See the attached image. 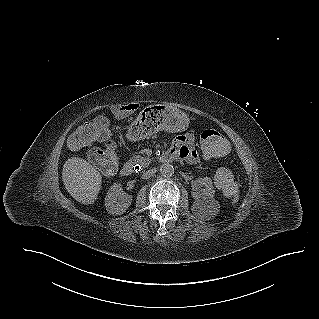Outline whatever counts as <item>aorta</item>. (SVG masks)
Here are the masks:
<instances>
[{
	"mask_svg": "<svg viewBox=\"0 0 319 319\" xmlns=\"http://www.w3.org/2000/svg\"><path fill=\"white\" fill-rule=\"evenodd\" d=\"M160 173L164 177H171L174 174V167L168 163L162 164L160 167Z\"/></svg>",
	"mask_w": 319,
	"mask_h": 319,
	"instance_id": "obj_1",
	"label": "aorta"
}]
</instances>
